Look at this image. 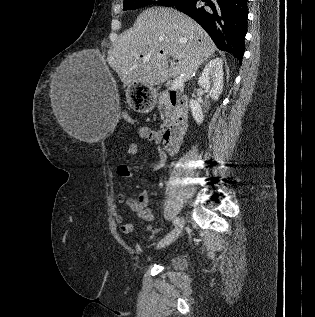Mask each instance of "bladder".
<instances>
[{"label": "bladder", "mask_w": 315, "mask_h": 317, "mask_svg": "<svg viewBox=\"0 0 315 317\" xmlns=\"http://www.w3.org/2000/svg\"><path fill=\"white\" fill-rule=\"evenodd\" d=\"M168 263L172 268L177 270L183 269L186 265L184 258L180 256L171 258Z\"/></svg>", "instance_id": "1"}]
</instances>
